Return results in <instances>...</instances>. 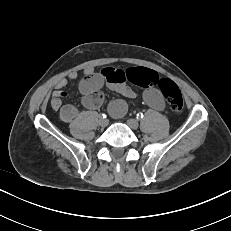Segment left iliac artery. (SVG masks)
Returning <instances> with one entry per match:
<instances>
[{
    "mask_svg": "<svg viewBox=\"0 0 231 231\" xmlns=\"http://www.w3.org/2000/svg\"><path fill=\"white\" fill-rule=\"evenodd\" d=\"M144 117L143 113H138L137 114V119H142Z\"/></svg>",
    "mask_w": 231,
    "mask_h": 231,
    "instance_id": "44dca946",
    "label": "left iliac artery"
}]
</instances>
